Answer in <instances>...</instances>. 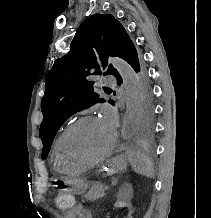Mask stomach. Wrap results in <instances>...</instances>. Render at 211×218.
<instances>
[{
	"label": "stomach",
	"mask_w": 211,
	"mask_h": 218,
	"mask_svg": "<svg viewBox=\"0 0 211 218\" xmlns=\"http://www.w3.org/2000/svg\"><path fill=\"white\" fill-rule=\"evenodd\" d=\"M127 166V158L123 155L117 156L109 160L105 168L103 169L107 175H113ZM65 183L69 186V189L74 194H83L88 188L84 179L79 177L67 178Z\"/></svg>",
	"instance_id": "stomach-1"
}]
</instances>
